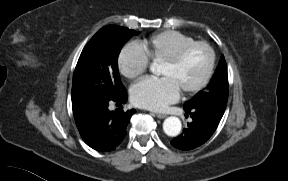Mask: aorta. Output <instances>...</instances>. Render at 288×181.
Wrapping results in <instances>:
<instances>
[{
  "label": "aorta",
  "instance_id": "762f6f07",
  "mask_svg": "<svg viewBox=\"0 0 288 181\" xmlns=\"http://www.w3.org/2000/svg\"><path fill=\"white\" fill-rule=\"evenodd\" d=\"M182 128L181 121L178 117H167L163 122V130L166 135L175 137L180 134Z\"/></svg>",
  "mask_w": 288,
  "mask_h": 181
}]
</instances>
